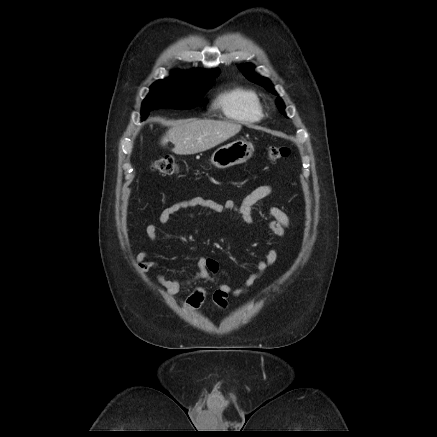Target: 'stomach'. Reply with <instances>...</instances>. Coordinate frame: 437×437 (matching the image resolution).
I'll return each mask as SVG.
<instances>
[{
	"mask_svg": "<svg viewBox=\"0 0 437 437\" xmlns=\"http://www.w3.org/2000/svg\"><path fill=\"white\" fill-rule=\"evenodd\" d=\"M254 147L251 143L238 140L219 147L211 156V163L217 168H228L246 162L251 158Z\"/></svg>",
	"mask_w": 437,
	"mask_h": 437,
	"instance_id": "stomach-1",
	"label": "stomach"
}]
</instances>
